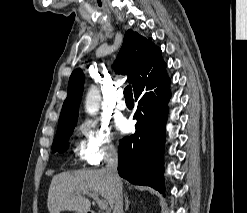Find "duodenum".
<instances>
[{
	"label": "duodenum",
	"instance_id": "duodenum-1",
	"mask_svg": "<svg viewBox=\"0 0 247 213\" xmlns=\"http://www.w3.org/2000/svg\"><path fill=\"white\" fill-rule=\"evenodd\" d=\"M87 213H96V212H94V211H89V212H87Z\"/></svg>",
	"mask_w": 247,
	"mask_h": 213
}]
</instances>
